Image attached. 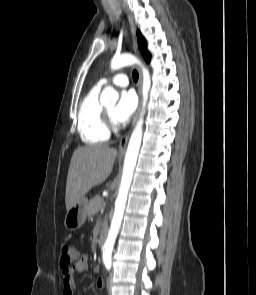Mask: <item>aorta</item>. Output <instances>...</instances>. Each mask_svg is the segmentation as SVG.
Returning a JSON list of instances; mask_svg holds the SVG:
<instances>
[{
	"label": "aorta",
	"mask_w": 256,
	"mask_h": 295,
	"mask_svg": "<svg viewBox=\"0 0 256 295\" xmlns=\"http://www.w3.org/2000/svg\"><path fill=\"white\" fill-rule=\"evenodd\" d=\"M133 64L140 65L141 63L135 56L131 54H122V55L113 57V59L111 60V69L117 70L122 67L133 65ZM142 74H143L142 111L140 113L138 122L131 134L128 147L126 150L120 188H119L117 199L115 201L114 215L112 218L107 239L103 246L104 262H111L113 247L121 226L123 213H124L125 205L127 201V196L131 186L133 173H134V169H135L138 154H139V149L141 146L145 107H146L148 94H149V90L151 86L150 74L145 67H142ZM118 97L119 95L117 91L113 87L107 86L103 89L100 95V102L102 105H110V104L114 105L117 102Z\"/></svg>",
	"instance_id": "aorta-1"
}]
</instances>
